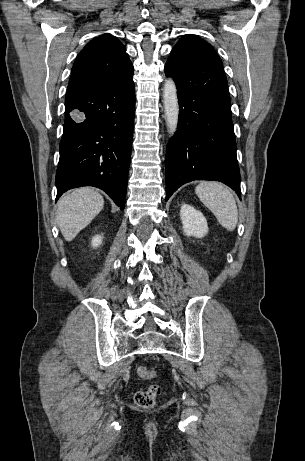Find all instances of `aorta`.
<instances>
[{
    "mask_svg": "<svg viewBox=\"0 0 305 461\" xmlns=\"http://www.w3.org/2000/svg\"><path fill=\"white\" fill-rule=\"evenodd\" d=\"M163 102L167 129L170 136H173L178 124L179 105L176 85L172 79H168L165 82L163 89Z\"/></svg>",
    "mask_w": 305,
    "mask_h": 461,
    "instance_id": "1",
    "label": "aorta"
}]
</instances>
